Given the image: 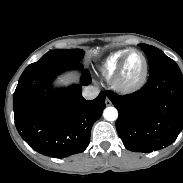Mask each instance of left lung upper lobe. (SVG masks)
Returning a JSON list of instances; mask_svg holds the SVG:
<instances>
[{
  "instance_id": "left-lung-upper-lobe-1",
  "label": "left lung upper lobe",
  "mask_w": 183,
  "mask_h": 183,
  "mask_svg": "<svg viewBox=\"0 0 183 183\" xmlns=\"http://www.w3.org/2000/svg\"><path fill=\"white\" fill-rule=\"evenodd\" d=\"M139 46L147 55L150 66L149 74L177 65L174 60L166 56L160 49L147 44H139Z\"/></svg>"
}]
</instances>
